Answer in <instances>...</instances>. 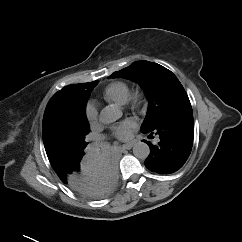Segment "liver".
I'll use <instances>...</instances> for the list:
<instances>
[{
  "label": "liver",
  "mask_w": 242,
  "mask_h": 242,
  "mask_svg": "<svg viewBox=\"0 0 242 242\" xmlns=\"http://www.w3.org/2000/svg\"><path fill=\"white\" fill-rule=\"evenodd\" d=\"M91 186H92V189L100 188V186L96 183V180H94V181L91 183Z\"/></svg>",
  "instance_id": "obj_1"
}]
</instances>
